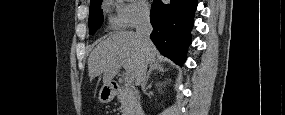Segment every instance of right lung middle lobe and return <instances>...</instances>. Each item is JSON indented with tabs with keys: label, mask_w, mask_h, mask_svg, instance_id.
Listing matches in <instances>:
<instances>
[{
	"label": "right lung middle lobe",
	"mask_w": 285,
	"mask_h": 115,
	"mask_svg": "<svg viewBox=\"0 0 285 115\" xmlns=\"http://www.w3.org/2000/svg\"><path fill=\"white\" fill-rule=\"evenodd\" d=\"M102 0H93L89 9V34H94L102 25L103 13L101 10Z\"/></svg>",
	"instance_id": "obj_1"
}]
</instances>
